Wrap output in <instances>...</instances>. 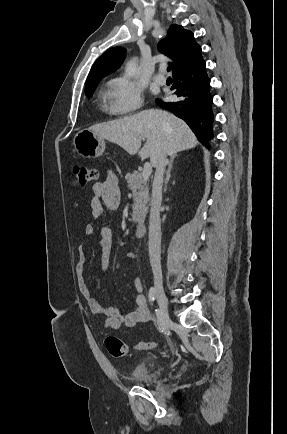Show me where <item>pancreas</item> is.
Instances as JSON below:
<instances>
[{
    "label": "pancreas",
    "mask_w": 287,
    "mask_h": 434,
    "mask_svg": "<svg viewBox=\"0 0 287 434\" xmlns=\"http://www.w3.org/2000/svg\"><path fill=\"white\" fill-rule=\"evenodd\" d=\"M125 179L134 198L132 220L140 222L146 217L149 208V186L147 180H144L142 174L137 171H134L132 174L127 173Z\"/></svg>",
    "instance_id": "cf45deb5"
}]
</instances>
